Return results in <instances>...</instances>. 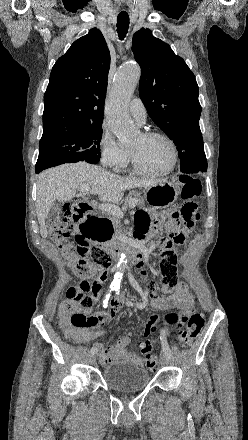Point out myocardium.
Listing matches in <instances>:
<instances>
[{
  "label": "myocardium",
  "mask_w": 248,
  "mask_h": 440,
  "mask_svg": "<svg viewBox=\"0 0 248 440\" xmlns=\"http://www.w3.org/2000/svg\"><path fill=\"white\" fill-rule=\"evenodd\" d=\"M142 135L146 138L158 137V138H162L165 141H167L172 149V162L166 170L161 171V172H152V171L146 170L145 168H143L141 166V164L139 163V161L137 159L135 152L132 149H130V159H131V165H132L133 170L135 172H137L138 174H141V175H144L147 177H164V176H167L170 173H172L177 165L178 158H179V152H178V148H177L175 141L169 135H167L166 133L161 132V131H145L142 133Z\"/></svg>",
  "instance_id": "obj_1"
}]
</instances>
